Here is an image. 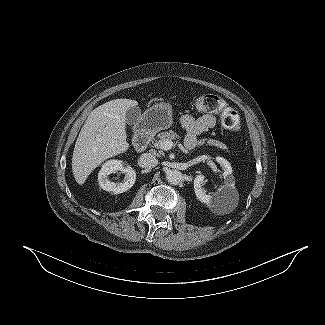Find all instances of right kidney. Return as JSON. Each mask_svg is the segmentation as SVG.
Masks as SVG:
<instances>
[{
  "instance_id": "right-kidney-1",
  "label": "right kidney",
  "mask_w": 325,
  "mask_h": 325,
  "mask_svg": "<svg viewBox=\"0 0 325 325\" xmlns=\"http://www.w3.org/2000/svg\"><path fill=\"white\" fill-rule=\"evenodd\" d=\"M117 171L125 173L123 183L111 182L108 176ZM136 181V172L121 160H109L102 165L101 170L98 173V182L103 190L119 194L130 189Z\"/></svg>"
}]
</instances>
